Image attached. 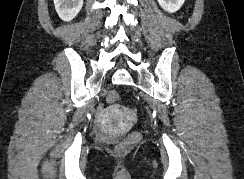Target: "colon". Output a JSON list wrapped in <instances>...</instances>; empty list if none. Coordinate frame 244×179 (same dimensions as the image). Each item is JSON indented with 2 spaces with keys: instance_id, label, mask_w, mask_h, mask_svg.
<instances>
[{
  "instance_id": "1",
  "label": "colon",
  "mask_w": 244,
  "mask_h": 179,
  "mask_svg": "<svg viewBox=\"0 0 244 179\" xmlns=\"http://www.w3.org/2000/svg\"><path fill=\"white\" fill-rule=\"evenodd\" d=\"M120 97L119 93H108V96L106 97L107 101L110 102H115L117 98ZM125 142H117V147H115V152H127L128 148L131 147V138L130 137H125L124 138Z\"/></svg>"
}]
</instances>
